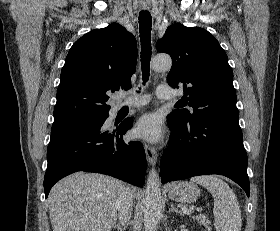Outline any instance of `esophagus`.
<instances>
[{"mask_svg":"<svg viewBox=\"0 0 280 231\" xmlns=\"http://www.w3.org/2000/svg\"><path fill=\"white\" fill-rule=\"evenodd\" d=\"M141 8L142 10H149V7L143 6ZM144 149L148 163L151 164V166H155L157 163V152L155 148L147 143H144Z\"/></svg>","mask_w":280,"mask_h":231,"instance_id":"1","label":"esophagus"}]
</instances>
